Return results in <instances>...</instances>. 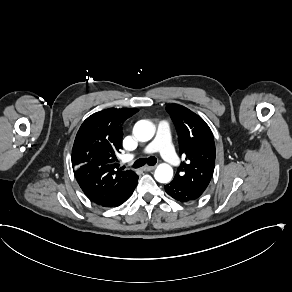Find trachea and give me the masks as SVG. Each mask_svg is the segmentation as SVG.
I'll list each match as a JSON object with an SVG mask.
<instances>
[{
    "instance_id": "trachea-1",
    "label": "trachea",
    "mask_w": 292,
    "mask_h": 292,
    "mask_svg": "<svg viewBox=\"0 0 292 292\" xmlns=\"http://www.w3.org/2000/svg\"><path fill=\"white\" fill-rule=\"evenodd\" d=\"M156 161V158L153 156H150L148 158H140L134 162V168H140L145 164H148L149 166H154L156 164Z\"/></svg>"
}]
</instances>
